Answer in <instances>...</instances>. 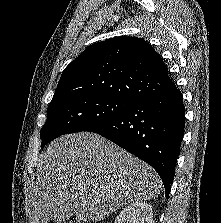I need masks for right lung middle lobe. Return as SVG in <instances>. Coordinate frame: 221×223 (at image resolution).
I'll list each match as a JSON object with an SVG mask.
<instances>
[{"label": "right lung middle lobe", "mask_w": 221, "mask_h": 223, "mask_svg": "<svg viewBox=\"0 0 221 223\" xmlns=\"http://www.w3.org/2000/svg\"><path fill=\"white\" fill-rule=\"evenodd\" d=\"M133 102L108 96L85 95L51 103L41 129V148L63 134L86 131L129 108Z\"/></svg>", "instance_id": "1"}]
</instances>
